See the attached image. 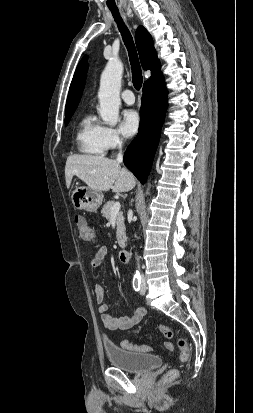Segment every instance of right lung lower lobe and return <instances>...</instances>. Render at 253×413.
Wrapping results in <instances>:
<instances>
[{
	"label": "right lung lower lobe",
	"instance_id": "right-lung-lower-lobe-1",
	"mask_svg": "<svg viewBox=\"0 0 253 413\" xmlns=\"http://www.w3.org/2000/svg\"><path fill=\"white\" fill-rule=\"evenodd\" d=\"M166 111L163 76L145 82L140 109L139 133L124 154V164L144 184L149 175Z\"/></svg>",
	"mask_w": 253,
	"mask_h": 413
}]
</instances>
